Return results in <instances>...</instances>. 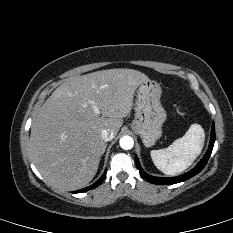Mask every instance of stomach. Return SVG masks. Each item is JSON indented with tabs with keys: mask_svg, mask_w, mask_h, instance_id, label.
<instances>
[{
	"mask_svg": "<svg viewBox=\"0 0 233 233\" xmlns=\"http://www.w3.org/2000/svg\"><path fill=\"white\" fill-rule=\"evenodd\" d=\"M162 89L153 80L141 83L137 88L135 118L131 128L138 134L146 147H151L162 135L166 112L161 105Z\"/></svg>",
	"mask_w": 233,
	"mask_h": 233,
	"instance_id": "0dacf381",
	"label": "stomach"
}]
</instances>
